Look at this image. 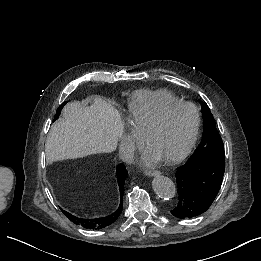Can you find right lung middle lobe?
I'll return each mask as SVG.
<instances>
[{
  "label": "right lung middle lobe",
  "mask_w": 261,
  "mask_h": 261,
  "mask_svg": "<svg viewBox=\"0 0 261 261\" xmlns=\"http://www.w3.org/2000/svg\"><path fill=\"white\" fill-rule=\"evenodd\" d=\"M66 103H67V102H64V103H62V104H61V106L58 108V110H57V112H56V115H55V119H54V120H56V119L59 117V115H60V112H61V110H62L63 106H64Z\"/></svg>",
  "instance_id": "obj_1"
}]
</instances>
